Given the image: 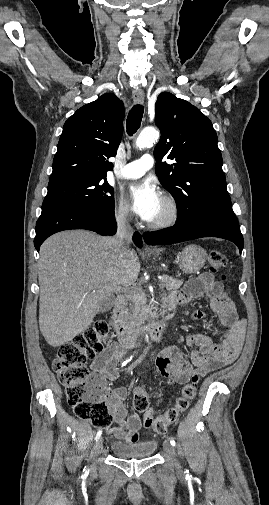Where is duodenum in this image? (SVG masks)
<instances>
[{"label": "duodenum", "mask_w": 269, "mask_h": 505, "mask_svg": "<svg viewBox=\"0 0 269 505\" xmlns=\"http://www.w3.org/2000/svg\"><path fill=\"white\" fill-rule=\"evenodd\" d=\"M125 306V299L122 297L117 298L113 304L109 319V323L119 343L126 346L136 345L143 336H148L153 341H161L163 339L167 326V316L153 318L147 324L138 326L125 320L123 316ZM165 306L166 311L172 309L166 303Z\"/></svg>", "instance_id": "duodenum-1"}]
</instances>
